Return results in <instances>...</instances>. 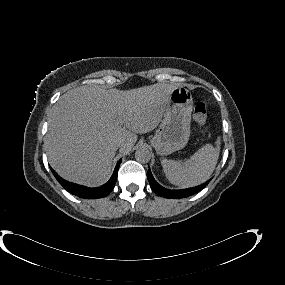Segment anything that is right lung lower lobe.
<instances>
[{
    "mask_svg": "<svg viewBox=\"0 0 285 285\" xmlns=\"http://www.w3.org/2000/svg\"><path fill=\"white\" fill-rule=\"evenodd\" d=\"M121 160L118 161L115 170L109 179V181L104 184L101 187L97 188H88L85 186L77 185L74 183H70L64 179H62L52 168L51 171L54 174L55 178L57 181L63 186L65 190H67L69 193L78 196L80 198L84 199H98V198H103L107 196L114 188L116 180H117V175H118V169L120 166Z\"/></svg>",
    "mask_w": 285,
    "mask_h": 285,
    "instance_id": "obj_1",
    "label": "right lung lower lobe"
}]
</instances>
